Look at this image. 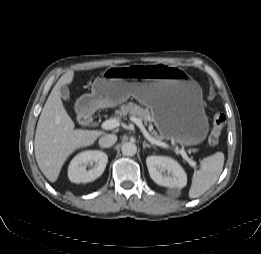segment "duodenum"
<instances>
[{
	"label": "duodenum",
	"instance_id": "duodenum-1",
	"mask_svg": "<svg viewBox=\"0 0 261 254\" xmlns=\"http://www.w3.org/2000/svg\"><path fill=\"white\" fill-rule=\"evenodd\" d=\"M93 119V115H90L88 120L91 121ZM82 122H84L85 124L88 123V121L86 119H82Z\"/></svg>",
	"mask_w": 261,
	"mask_h": 254
}]
</instances>
